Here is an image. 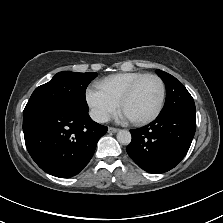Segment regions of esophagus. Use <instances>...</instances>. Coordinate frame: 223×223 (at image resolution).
Returning a JSON list of instances; mask_svg holds the SVG:
<instances>
[{"label":"esophagus","instance_id":"esophagus-1","mask_svg":"<svg viewBox=\"0 0 223 223\" xmlns=\"http://www.w3.org/2000/svg\"><path fill=\"white\" fill-rule=\"evenodd\" d=\"M118 131H119V129L114 128V127H109V128H108V132H109V133H116V132H118Z\"/></svg>","mask_w":223,"mask_h":223}]
</instances>
